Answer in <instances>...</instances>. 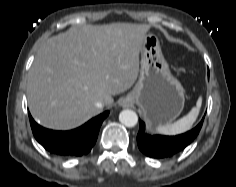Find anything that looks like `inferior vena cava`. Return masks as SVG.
Wrapping results in <instances>:
<instances>
[{
	"mask_svg": "<svg viewBox=\"0 0 236 187\" xmlns=\"http://www.w3.org/2000/svg\"><path fill=\"white\" fill-rule=\"evenodd\" d=\"M95 105L98 109H102L104 107V103L101 101H98Z\"/></svg>",
	"mask_w": 236,
	"mask_h": 187,
	"instance_id": "602c4592",
	"label": "inferior vena cava"
}]
</instances>
